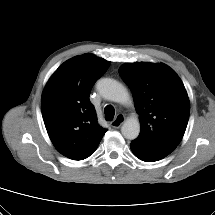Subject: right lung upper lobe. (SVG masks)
<instances>
[{
	"instance_id": "cb5924a9",
	"label": "right lung upper lobe",
	"mask_w": 215,
	"mask_h": 215,
	"mask_svg": "<svg viewBox=\"0 0 215 215\" xmlns=\"http://www.w3.org/2000/svg\"><path fill=\"white\" fill-rule=\"evenodd\" d=\"M109 65L92 54L73 57L54 72L44 88L41 109L46 130L56 149L69 159L89 157L107 131L98 125L89 95Z\"/></svg>"
}]
</instances>
